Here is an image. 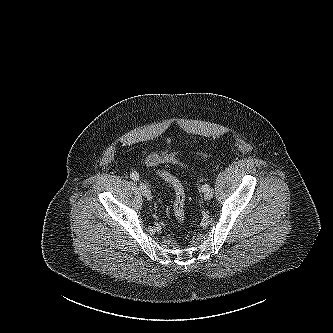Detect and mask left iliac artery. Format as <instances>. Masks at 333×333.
<instances>
[{"label": "left iliac artery", "mask_w": 333, "mask_h": 333, "mask_svg": "<svg viewBox=\"0 0 333 333\" xmlns=\"http://www.w3.org/2000/svg\"><path fill=\"white\" fill-rule=\"evenodd\" d=\"M208 189H210V187H209L208 185H203V186L201 187V191H202V192H205V191H207Z\"/></svg>", "instance_id": "44dca946"}]
</instances>
